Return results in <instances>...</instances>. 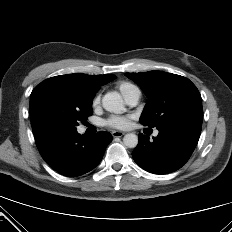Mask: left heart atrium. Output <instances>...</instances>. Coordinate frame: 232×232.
Wrapping results in <instances>:
<instances>
[{
  "label": "left heart atrium",
  "instance_id": "39dd6f15",
  "mask_svg": "<svg viewBox=\"0 0 232 232\" xmlns=\"http://www.w3.org/2000/svg\"><path fill=\"white\" fill-rule=\"evenodd\" d=\"M130 124V118L124 116H112L105 121V125L116 129H125Z\"/></svg>",
  "mask_w": 232,
  "mask_h": 232
}]
</instances>
